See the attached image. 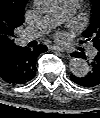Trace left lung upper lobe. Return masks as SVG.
Segmentation results:
<instances>
[{
	"mask_svg": "<svg viewBox=\"0 0 100 118\" xmlns=\"http://www.w3.org/2000/svg\"><path fill=\"white\" fill-rule=\"evenodd\" d=\"M92 1V16L90 26L84 31L86 41H92L93 46L100 51V0Z\"/></svg>",
	"mask_w": 100,
	"mask_h": 118,
	"instance_id": "1",
	"label": "left lung upper lobe"
}]
</instances>
